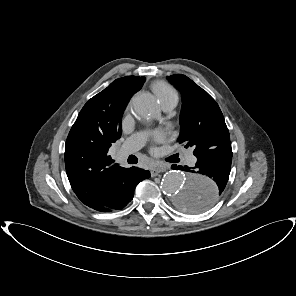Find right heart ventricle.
I'll return each instance as SVG.
<instances>
[{"label": "right heart ventricle", "instance_id": "e07e8e85", "mask_svg": "<svg viewBox=\"0 0 296 296\" xmlns=\"http://www.w3.org/2000/svg\"><path fill=\"white\" fill-rule=\"evenodd\" d=\"M152 90L162 105L170 101L178 100L177 92L165 82L158 81L154 83L152 85Z\"/></svg>", "mask_w": 296, "mask_h": 296}]
</instances>
